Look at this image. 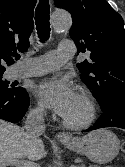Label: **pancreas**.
<instances>
[{
    "instance_id": "obj_1",
    "label": "pancreas",
    "mask_w": 125,
    "mask_h": 167,
    "mask_svg": "<svg viewBox=\"0 0 125 167\" xmlns=\"http://www.w3.org/2000/svg\"><path fill=\"white\" fill-rule=\"evenodd\" d=\"M80 167H84V165H80ZM90 167H99V166L93 165V166H90Z\"/></svg>"
}]
</instances>
